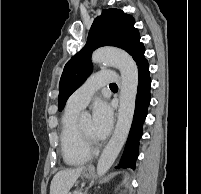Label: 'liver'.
<instances>
[{
    "mask_svg": "<svg viewBox=\"0 0 201 194\" xmlns=\"http://www.w3.org/2000/svg\"><path fill=\"white\" fill-rule=\"evenodd\" d=\"M85 167L66 169L57 172L50 185V194H68Z\"/></svg>",
    "mask_w": 201,
    "mask_h": 194,
    "instance_id": "liver-1",
    "label": "liver"
}]
</instances>
